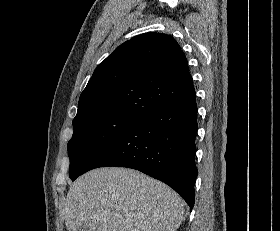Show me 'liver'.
<instances>
[{"label": "liver", "instance_id": "liver-1", "mask_svg": "<svg viewBox=\"0 0 280 231\" xmlns=\"http://www.w3.org/2000/svg\"><path fill=\"white\" fill-rule=\"evenodd\" d=\"M61 205L69 231H176L184 213L174 189L129 167L87 171Z\"/></svg>", "mask_w": 280, "mask_h": 231}]
</instances>
